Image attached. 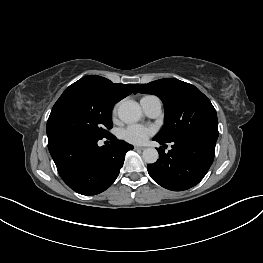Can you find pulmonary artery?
<instances>
[{
	"mask_svg": "<svg viewBox=\"0 0 263 263\" xmlns=\"http://www.w3.org/2000/svg\"><path fill=\"white\" fill-rule=\"evenodd\" d=\"M140 104L145 114L151 118L159 117L162 112V102L156 96H144L140 100Z\"/></svg>",
	"mask_w": 263,
	"mask_h": 263,
	"instance_id": "obj_1",
	"label": "pulmonary artery"
}]
</instances>
